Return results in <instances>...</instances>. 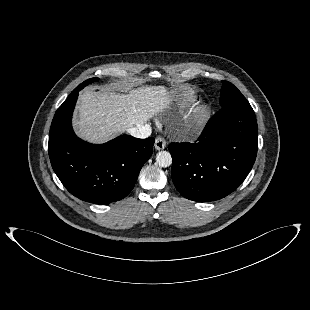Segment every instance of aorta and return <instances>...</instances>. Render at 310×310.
Instances as JSON below:
<instances>
[{"label":"aorta","mask_w":310,"mask_h":310,"mask_svg":"<svg viewBox=\"0 0 310 310\" xmlns=\"http://www.w3.org/2000/svg\"><path fill=\"white\" fill-rule=\"evenodd\" d=\"M156 163L160 167H169L172 164V157L168 151H160L156 154Z\"/></svg>","instance_id":"762f6f07"}]
</instances>
